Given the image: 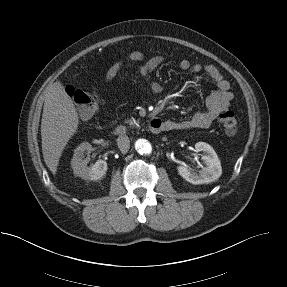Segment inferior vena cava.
<instances>
[{"mask_svg":"<svg viewBox=\"0 0 287 287\" xmlns=\"http://www.w3.org/2000/svg\"><path fill=\"white\" fill-rule=\"evenodd\" d=\"M117 145L122 153H126L130 148L129 137L127 135H120L117 138Z\"/></svg>","mask_w":287,"mask_h":287,"instance_id":"obj_1","label":"inferior vena cava"}]
</instances>
